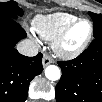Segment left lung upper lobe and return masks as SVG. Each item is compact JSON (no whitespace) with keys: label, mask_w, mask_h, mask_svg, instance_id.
Returning <instances> with one entry per match:
<instances>
[{"label":"left lung upper lobe","mask_w":102,"mask_h":102,"mask_svg":"<svg viewBox=\"0 0 102 102\" xmlns=\"http://www.w3.org/2000/svg\"><path fill=\"white\" fill-rule=\"evenodd\" d=\"M94 22V37H102V15L89 12Z\"/></svg>","instance_id":"obj_1"}]
</instances>
